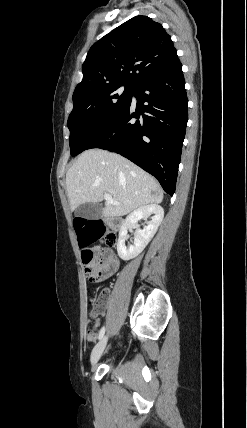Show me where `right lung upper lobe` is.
Segmentation results:
<instances>
[{
	"mask_svg": "<svg viewBox=\"0 0 247 428\" xmlns=\"http://www.w3.org/2000/svg\"><path fill=\"white\" fill-rule=\"evenodd\" d=\"M170 35L147 16H136L91 46L73 98L115 86L138 87L177 58Z\"/></svg>",
	"mask_w": 247,
	"mask_h": 428,
	"instance_id": "1",
	"label": "right lung upper lobe"
}]
</instances>
